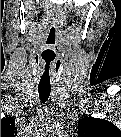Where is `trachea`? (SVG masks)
<instances>
[{"mask_svg":"<svg viewBox=\"0 0 121 137\" xmlns=\"http://www.w3.org/2000/svg\"><path fill=\"white\" fill-rule=\"evenodd\" d=\"M59 29V20L54 16L48 30L46 50L40 67V79L38 85L39 97L42 102H46L51 92L52 68L55 63V47Z\"/></svg>","mask_w":121,"mask_h":137,"instance_id":"1","label":"trachea"}]
</instances>
